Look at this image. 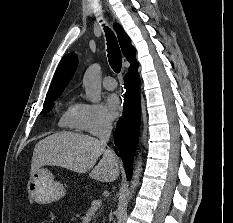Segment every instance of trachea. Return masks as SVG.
<instances>
[{
	"label": "trachea",
	"mask_w": 233,
	"mask_h": 223,
	"mask_svg": "<svg viewBox=\"0 0 233 223\" xmlns=\"http://www.w3.org/2000/svg\"><path fill=\"white\" fill-rule=\"evenodd\" d=\"M104 30L107 39V56L109 59V64L114 72L119 73L122 66V57L118 42L115 35L110 29H108V27H104Z\"/></svg>",
	"instance_id": "obj_1"
}]
</instances>
